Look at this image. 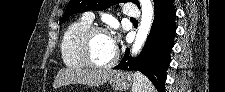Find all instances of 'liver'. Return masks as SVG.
<instances>
[{
  "label": "liver",
  "instance_id": "6515ba94",
  "mask_svg": "<svg viewBox=\"0 0 225 92\" xmlns=\"http://www.w3.org/2000/svg\"><path fill=\"white\" fill-rule=\"evenodd\" d=\"M116 71L105 69H61L57 73L53 88L70 84H83L98 87L106 83Z\"/></svg>",
  "mask_w": 225,
  "mask_h": 92
}]
</instances>
